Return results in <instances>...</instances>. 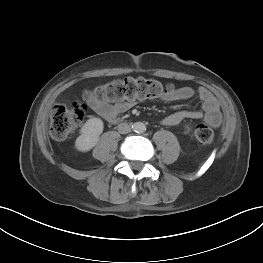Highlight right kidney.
Listing matches in <instances>:
<instances>
[{"label":"right kidney","mask_w":263,"mask_h":263,"mask_svg":"<svg viewBox=\"0 0 263 263\" xmlns=\"http://www.w3.org/2000/svg\"><path fill=\"white\" fill-rule=\"evenodd\" d=\"M103 128L100 118L88 119L81 128V135L76 139V148L82 152L91 150L97 144Z\"/></svg>","instance_id":"ca27d5eb"}]
</instances>
